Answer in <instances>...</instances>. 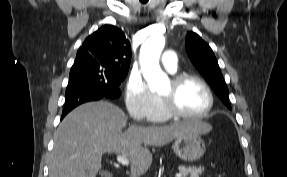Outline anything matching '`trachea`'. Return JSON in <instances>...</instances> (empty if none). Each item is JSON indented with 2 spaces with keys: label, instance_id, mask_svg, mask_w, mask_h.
<instances>
[{
  "label": "trachea",
  "instance_id": "trachea-1",
  "mask_svg": "<svg viewBox=\"0 0 287 177\" xmlns=\"http://www.w3.org/2000/svg\"><path fill=\"white\" fill-rule=\"evenodd\" d=\"M140 2H141L142 4H146V3L148 2V0H140Z\"/></svg>",
  "mask_w": 287,
  "mask_h": 177
}]
</instances>
